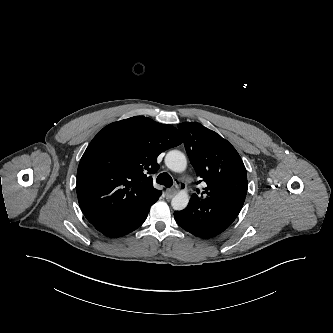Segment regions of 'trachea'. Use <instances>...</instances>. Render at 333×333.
<instances>
[{
    "label": "trachea",
    "instance_id": "obj_1",
    "mask_svg": "<svg viewBox=\"0 0 333 333\" xmlns=\"http://www.w3.org/2000/svg\"><path fill=\"white\" fill-rule=\"evenodd\" d=\"M156 182L158 184L164 185L167 188H170L173 185L172 177L166 172L159 174Z\"/></svg>",
    "mask_w": 333,
    "mask_h": 333
}]
</instances>
